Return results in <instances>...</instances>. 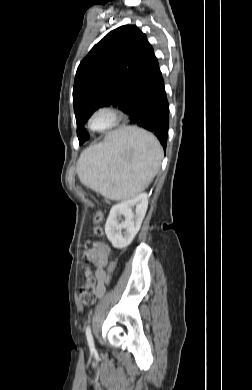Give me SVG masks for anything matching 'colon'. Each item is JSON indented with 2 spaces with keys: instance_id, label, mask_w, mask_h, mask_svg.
Segmentation results:
<instances>
[{
  "instance_id": "colon-1",
  "label": "colon",
  "mask_w": 252,
  "mask_h": 390,
  "mask_svg": "<svg viewBox=\"0 0 252 390\" xmlns=\"http://www.w3.org/2000/svg\"><path fill=\"white\" fill-rule=\"evenodd\" d=\"M102 218H103L102 212L98 211L93 218V222L95 224H98L101 222ZM94 232L96 234H102V230L98 226L94 228ZM96 298H97V292H96L95 283L91 279V277H88L87 283L80 289L81 302L84 305H92L94 304Z\"/></svg>"
}]
</instances>
